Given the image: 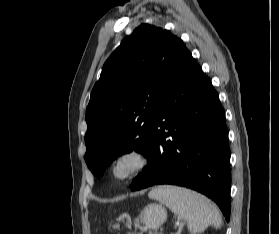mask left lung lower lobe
I'll list each match as a JSON object with an SVG mask.
<instances>
[{"label": "left lung lower lobe", "mask_w": 279, "mask_h": 234, "mask_svg": "<svg viewBox=\"0 0 279 234\" xmlns=\"http://www.w3.org/2000/svg\"><path fill=\"white\" fill-rule=\"evenodd\" d=\"M148 166L131 185L188 187L211 198L230 219V149L225 113L210 79L186 47L154 114Z\"/></svg>", "instance_id": "0a47b994"}]
</instances>
